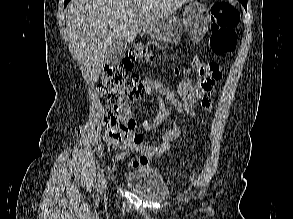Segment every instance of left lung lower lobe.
Instances as JSON below:
<instances>
[{
  "mask_svg": "<svg viewBox=\"0 0 293 219\" xmlns=\"http://www.w3.org/2000/svg\"><path fill=\"white\" fill-rule=\"evenodd\" d=\"M239 2L242 3L245 9H247V0H239Z\"/></svg>",
  "mask_w": 293,
  "mask_h": 219,
  "instance_id": "0a47b994",
  "label": "left lung lower lobe"
}]
</instances>
